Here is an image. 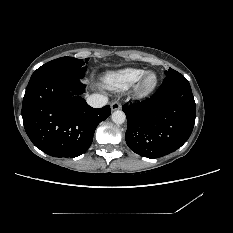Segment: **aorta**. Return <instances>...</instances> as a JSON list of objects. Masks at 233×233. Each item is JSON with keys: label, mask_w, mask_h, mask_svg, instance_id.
I'll list each match as a JSON object with an SVG mask.
<instances>
[{"label": "aorta", "mask_w": 233, "mask_h": 233, "mask_svg": "<svg viewBox=\"0 0 233 233\" xmlns=\"http://www.w3.org/2000/svg\"><path fill=\"white\" fill-rule=\"evenodd\" d=\"M126 120V115L123 111L121 110H116L112 113V121L115 124H122Z\"/></svg>", "instance_id": "762f6f07"}]
</instances>
